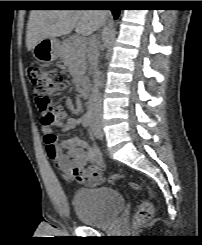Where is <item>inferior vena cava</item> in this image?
<instances>
[{"mask_svg": "<svg viewBox=\"0 0 202 245\" xmlns=\"http://www.w3.org/2000/svg\"><path fill=\"white\" fill-rule=\"evenodd\" d=\"M88 61L90 64V69L93 71V83L98 82L100 72L98 71V61H99V51L97 48V38L95 35L92 36L90 40V47L88 50ZM88 106L92 112H99L101 110V102L98 95V91L93 87L92 93L90 95Z\"/></svg>", "mask_w": 202, "mask_h": 245, "instance_id": "1", "label": "inferior vena cava"}]
</instances>
